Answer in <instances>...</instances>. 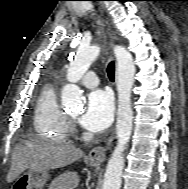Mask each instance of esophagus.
<instances>
[{"mask_svg":"<svg viewBox=\"0 0 188 189\" xmlns=\"http://www.w3.org/2000/svg\"><path fill=\"white\" fill-rule=\"evenodd\" d=\"M99 9L101 10V8ZM108 30H110L109 27H108ZM111 41L112 42L114 41V37L112 36V34H111ZM112 141H113V136H111L107 140L105 146H98V147L93 148L89 152V155H88L89 162L92 164H101L105 160L106 152L110 148Z\"/></svg>","mask_w":188,"mask_h":189,"instance_id":"34e87169","label":"esophagus"}]
</instances>
